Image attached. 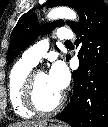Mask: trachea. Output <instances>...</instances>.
Returning a JSON list of instances; mask_svg holds the SVG:
<instances>
[{
	"instance_id": "1",
	"label": "trachea",
	"mask_w": 108,
	"mask_h": 127,
	"mask_svg": "<svg viewBox=\"0 0 108 127\" xmlns=\"http://www.w3.org/2000/svg\"><path fill=\"white\" fill-rule=\"evenodd\" d=\"M65 44H71V41L68 40V41L65 42Z\"/></svg>"
}]
</instances>
